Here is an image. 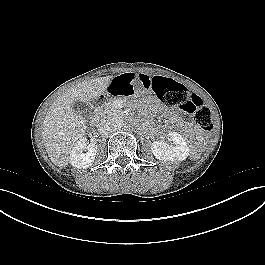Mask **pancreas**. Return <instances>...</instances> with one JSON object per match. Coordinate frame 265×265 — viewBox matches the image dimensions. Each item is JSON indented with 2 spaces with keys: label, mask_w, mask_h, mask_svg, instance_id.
Instances as JSON below:
<instances>
[{
  "label": "pancreas",
  "mask_w": 265,
  "mask_h": 265,
  "mask_svg": "<svg viewBox=\"0 0 265 265\" xmlns=\"http://www.w3.org/2000/svg\"><path fill=\"white\" fill-rule=\"evenodd\" d=\"M120 110L118 108L115 107L114 105V101H110L108 103H106L105 105H103L100 110H99V114L102 116V117H109L113 114H119L117 112H119Z\"/></svg>",
  "instance_id": "1"
}]
</instances>
